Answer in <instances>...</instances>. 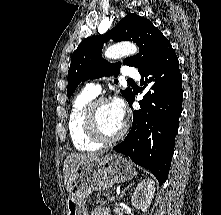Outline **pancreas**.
<instances>
[{
    "mask_svg": "<svg viewBox=\"0 0 221 215\" xmlns=\"http://www.w3.org/2000/svg\"><path fill=\"white\" fill-rule=\"evenodd\" d=\"M111 196V194L108 193H96L95 194V202L97 205L103 206L104 204H109V197ZM104 197H106L107 199H105Z\"/></svg>",
    "mask_w": 221,
    "mask_h": 215,
    "instance_id": "1",
    "label": "pancreas"
}]
</instances>
